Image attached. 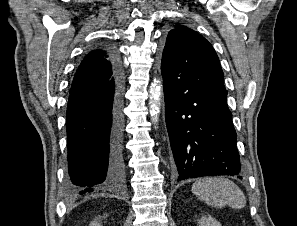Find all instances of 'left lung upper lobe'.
<instances>
[{
    "instance_id": "obj_1",
    "label": "left lung upper lobe",
    "mask_w": 297,
    "mask_h": 226,
    "mask_svg": "<svg viewBox=\"0 0 297 226\" xmlns=\"http://www.w3.org/2000/svg\"><path fill=\"white\" fill-rule=\"evenodd\" d=\"M161 72L199 90L225 88L223 71L212 45L182 25H176L167 36Z\"/></svg>"
}]
</instances>
